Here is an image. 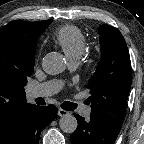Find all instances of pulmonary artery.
<instances>
[{
	"label": "pulmonary artery",
	"mask_w": 144,
	"mask_h": 144,
	"mask_svg": "<svg viewBox=\"0 0 144 144\" xmlns=\"http://www.w3.org/2000/svg\"><path fill=\"white\" fill-rule=\"evenodd\" d=\"M77 61V58L71 59L72 63H75ZM63 83L59 80H51L42 84H39L37 86L32 87L28 91V97L31 99L38 98V97H48L51 96L62 88ZM91 107L90 106H84L81 108L80 113L85 118H88L91 114Z\"/></svg>",
	"instance_id": "1"
}]
</instances>
